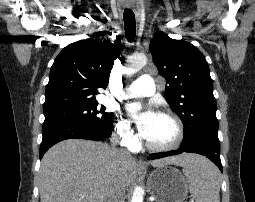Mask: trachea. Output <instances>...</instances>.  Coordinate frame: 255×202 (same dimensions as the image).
I'll return each instance as SVG.
<instances>
[{"instance_id":"1","label":"trachea","mask_w":255,"mask_h":202,"mask_svg":"<svg viewBox=\"0 0 255 202\" xmlns=\"http://www.w3.org/2000/svg\"><path fill=\"white\" fill-rule=\"evenodd\" d=\"M124 27L126 38L129 42H133L136 34V24L134 12L130 9H125L123 13Z\"/></svg>"}]
</instances>
